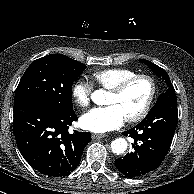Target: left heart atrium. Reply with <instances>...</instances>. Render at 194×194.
Segmentation results:
<instances>
[{"mask_svg":"<svg viewBox=\"0 0 194 194\" xmlns=\"http://www.w3.org/2000/svg\"><path fill=\"white\" fill-rule=\"evenodd\" d=\"M125 117L114 105L93 108L80 118L82 128L95 132L103 133L117 129L123 125Z\"/></svg>","mask_w":194,"mask_h":194,"instance_id":"1","label":"left heart atrium"}]
</instances>
